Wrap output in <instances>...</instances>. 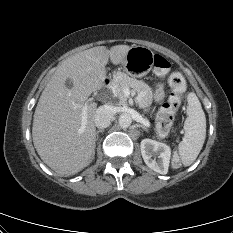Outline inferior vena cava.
<instances>
[{"instance_id": "602c4592", "label": "inferior vena cava", "mask_w": 233, "mask_h": 233, "mask_svg": "<svg viewBox=\"0 0 233 233\" xmlns=\"http://www.w3.org/2000/svg\"><path fill=\"white\" fill-rule=\"evenodd\" d=\"M113 117H114V109L112 106L109 105L100 106L96 111L95 125L100 129H104L111 124Z\"/></svg>"}]
</instances>
